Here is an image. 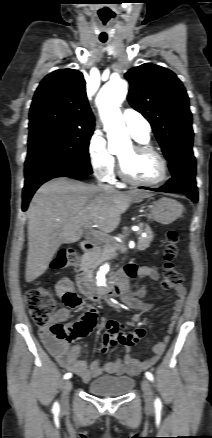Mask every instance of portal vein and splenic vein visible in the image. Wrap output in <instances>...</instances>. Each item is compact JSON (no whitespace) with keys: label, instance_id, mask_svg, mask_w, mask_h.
I'll return each mask as SVG.
<instances>
[{"label":"portal vein and splenic vein","instance_id":"1","mask_svg":"<svg viewBox=\"0 0 212 438\" xmlns=\"http://www.w3.org/2000/svg\"><path fill=\"white\" fill-rule=\"evenodd\" d=\"M89 226L90 225H86L85 227H89ZM92 233L95 234V235L97 234V232H95V231H92Z\"/></svg>","mask_w":212,"mask_h":438}]
</instances>
